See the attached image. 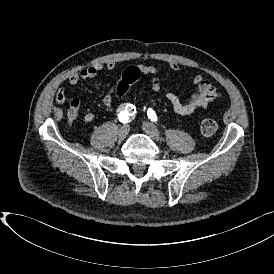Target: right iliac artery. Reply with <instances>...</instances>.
I'll use <instances>...</instances> for the list:
<instances>
[{
  "instance_id": "82829eb1",
  "label": "right iliac artery",
  "mask_w": 274,
  "mask_h": 274,
  "mask_svg": "<svg viewBox=\"0 0 274 274\" xmlns=\"http://www.w3.org/2000/svg\"><path fill=\"white\" fill-rule=\"evenodd\" d=\"M135 112H136L135 107L126 106L125 110H123L119 113L118 118H119L120 122L127 123L128 121H131L134 119Z\"/></svg>"
}]
</instances>
